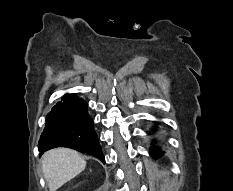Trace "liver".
Here are the masks:
<instances>
[{
    "label": "liver",
    "mask_w": 233,
    "mask_h": 191,
    "mask_svg": "<svg viewBox=\"0 0 233 191\" xmlns=\"http://www.w3.org/2000/svg\"><path fill=\"white\" fill-rule=\"evenodd\" d=\"M41 163L50 191H56L86 167L85 159L77 151L68 148L47 151L43 154Z\"/></svg>",
    "instance_id": "obj_1"
}]
</instances>
